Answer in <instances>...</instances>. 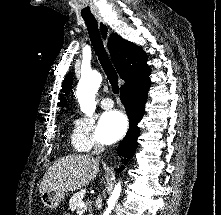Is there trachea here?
Returning <instances> with one entry per match:
<instances>
[{
	"mask_svg": "<svg viewBox=\"0 0 221 215\" xmlns=\"http://www.w3.org/2000/svg\"><path fill=\"white\" fill-rule=\"evenodd\" d=\"M84 21L87 26V30L94 48L96 55L101 63V66L104 72L107 75V78L112 86L113 93H119V86H118V75L116 73L115 68L113 67L106 50L104 48L99 29L96 19H86Z\"/></svg>",
	"mask_w": 221,
	"mask_h": 215,
	"instance_id": "trachea-1",
	"label": "trachea"
}]
</instances>
